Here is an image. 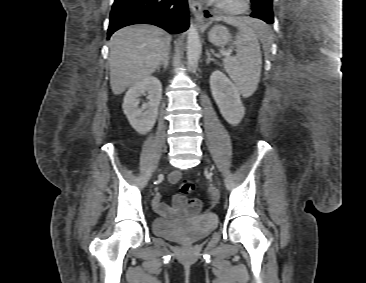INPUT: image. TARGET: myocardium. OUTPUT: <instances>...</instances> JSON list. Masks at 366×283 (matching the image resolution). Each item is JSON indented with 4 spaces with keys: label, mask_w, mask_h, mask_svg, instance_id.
Wrapping results in <instances>:
<instances>
[{
    "label": "myocardium",
    "mask_w": 366,
    "mask_h": 283,
    "mask_svg": "<svg viewBox=\"0 0 366 283\" xmlns=\"http://www.w3.org/2000/svg\"><path fill=\"white\" fill-rule=\"evenodd\" d=\"M217 8L227 15H240L250 8V0H219Z\"/></svg>",
    "instance_id": "1"
}]
</instances>
